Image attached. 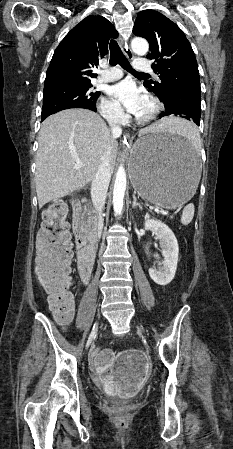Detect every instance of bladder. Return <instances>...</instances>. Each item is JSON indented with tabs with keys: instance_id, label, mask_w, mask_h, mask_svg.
<instances>
[{
	"instance_id": "obj_1",
	"label": "bladder",
	"mask_w": 233,
	"mask_h": 449,
	"mask_svg": "<svg viewBox=\"0 0 233 449\" xmlns=\"http://www.w3.org/2000/svg\"><path fill=\"white\" fill-rule=\"evenodd\" d=\"M119 403H120V404H126L127 401H120Z\"/></svg>"
}]
</instances>
